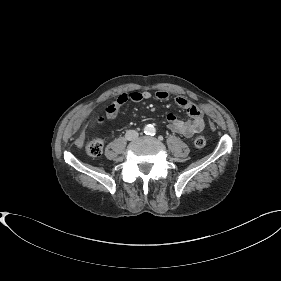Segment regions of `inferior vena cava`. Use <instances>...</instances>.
I'll list each match as a JSON object with an SVG mask.
<instances>
[{
    "label": "inferior vena cava",
    "mask_w": 281,
    "mask_h": 281,
    "mask_svg": "<svg viewBox=\"0 0 281 281\" xmlns=\"http://www.w3.org/2000/svg\"><path fill=\"white\" fill-rule=\"evenodd\" d=\"M138 132L135 130H128L125 134V138L129 141L135 140L138 137Z\"/></svg>",
    "instance_id": "602c4592"
}]
</instances>
